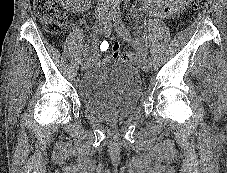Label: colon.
I'll return each mask as SVG.
<instances>
[{"instance_id": "obj_1", "label": "colon", "mask_w": 227, "mask_h": 173, "mask_svg": "<svg viewBox=\"0 0 227 173\" xmlns=\"http://www.w3.org/2000/svg\"><path fill=\"white\" fill-rule=\"evenodd\" d=\"M194 9H205L211 3V0H189ZM35 14L45 23L48 32L51 34H59L62 32L66 23L65 17L59 13L53 0H35ZM113 55L115 58L126 62H132L136 59L134 54L130 52L120 51L119 44H113Z\"/></svg>"}]
</instances>
